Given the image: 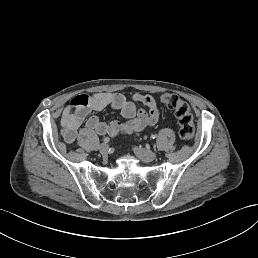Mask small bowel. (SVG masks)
Here are the masks:
<instances>
[{
    "label": "small bowel",
    "mask_w": 258,
    "mask_h": 258,
    "mask_svg": "<svg viewBox=\"0 0 258 258\" xmlns=\"http://www.w3.org/2000/svg\"><path fill=\"white\" fill-rule=\"evenodd\" d=\"M137 103L146 109L139 108ZM120 111L126 119L124 122H102L92 112L105 108ZM160 116L157 101L150 95L135 93L131 99L120 93L98 92L91 95L74 96L61 114L62 136L67 143H73L82 125L84 130L97 135L112 137L132 134L155 125Z\"/></svg>",
    "instance_id": "1"
}]
</instances>
